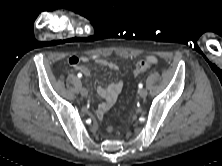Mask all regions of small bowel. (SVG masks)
Returning a JSON list of instances; mask_svg holds the SVG:
<instances>
[{
	"label": "small bowel",
	"mask_w": 222,
	"mask_h": 166,
	"mask_svg": "<svg viewBox=\"0 0 222 166\" xmlns=\"http://www.w3.org/2000/svg\"><path fill=\"white\" fill-rule=\"evenodd\" d=\"M151 63H155L156 62V58L154 56H149L147 58ZM88 61V58L85 56H71L68 59V64L79 70L84 76L86 77H90L91 72L90 70L85 67L80 65V63L82 62H86ZM96 62L101 65V66H105L108 67L111 70L117 71L119 69V66L112 61H107L105 59H97ZM123 88V82L122 81H118L116 83H112L107 87H102L99 86L96 89L97 94L102 97L104 99V102L101 103L96 111V114L98 117H103V115L113 106V104L116 102L118 95L120 94V92L122 91Z\"/></svg>",
	"instance_id": "obj_1"
}]
</instances>
